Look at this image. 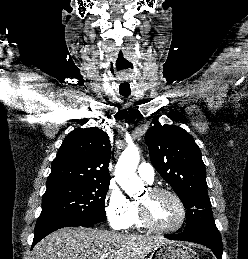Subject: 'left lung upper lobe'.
<instances>
[{"label": "left lung upper lobe", "instance_id": "1", "mask_svg": "<svg viewBox=\"0 0 248 259\" xmlns=\"http://www.w3.org/2000/svg\"><path fill=\"white\" fill-rule=\"evenodd\" d=\"M151 162L186 208L184 232L214 226L205 165L193 137L173 125L157 124L145 136Z\"/></svg>", "mask_w": 248, "mask_h": 259}]
</instances>
